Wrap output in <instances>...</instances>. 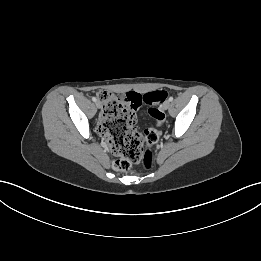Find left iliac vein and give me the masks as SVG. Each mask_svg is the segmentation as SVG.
<instances>
[{
  "mask_svg": "<svg viewBox=\"0 0 261 261\" xmlns=\"http://www.w3.org/2000/svg\"><path fill=\"white\" fill-rule=\"evenodd\" d=\"M169 107H170V101H169V100H166V101L163 103V109H164V110H167Z\"/></svg>",
  "mask_w": 261,
  "mask_h": 261,
  "instance_id": "obj_1",
  "label": "left iliac vein"
}]
</instances>
